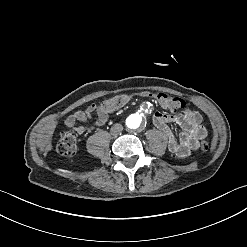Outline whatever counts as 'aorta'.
Segmentation results:
<instances>
[{"mask_svg": "<svg viewBox=\"0 0 247 247\" xmlns=\"http://www.w3.org/2000/svg\"><path fill=\"white\" fill-rule=\"evenodd\" d=\"M141 121H142V118H141L140 115H138V114L131 115L127 119V126L130 129H136V128H138L140 126Z\"/></svg>", "mask_w": 247, "mask_h": 247, "instance_id": "obj_1", "label": "aorta"}]
</instances>
